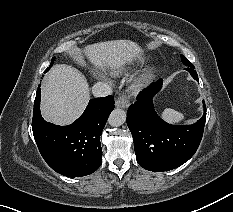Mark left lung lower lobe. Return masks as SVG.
<instances>
[{"mask_svg": "<svg viewBox=\"0 0 233 212\" xmlns=\"http://www.w3.org/2000/svg\"><path fill=\"white\" fill-rule=\"evenodd\" d=\"M198 81L194 69L188 68ZM162 79L151 84L138 96L127 112V125L134 140L137 162L144 169L162 172L188 161L196 152L203 135L204 115L192 125L175 126L164 122L155 112L152 99L160 91Z\"/></svg>", "mask_w": 233, "mask_h": 212, "instance_id": "0a47b994", "label": "left lung lower lobe"}]
</instances>
